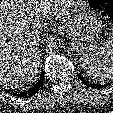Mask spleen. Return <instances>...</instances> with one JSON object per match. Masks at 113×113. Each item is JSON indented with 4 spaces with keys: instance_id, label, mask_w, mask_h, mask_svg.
<instances>
[{
    "instance_id": "spleen-1",
    "label": "spleen",
    "mask_w": 113,
    "mask_h": 113,
    "mask_svg": "<svg viewBox=\"0 0 113 113\" xmlns=\"http://www.w3.org/2000/svg\"><path fill=\"white\" fill-rule=\"evenodd\" d=\"M86 75L96 82L113 79V39L104 42L97 52L85 53L79 58Z\"/></svg>"
}]
</instances>
